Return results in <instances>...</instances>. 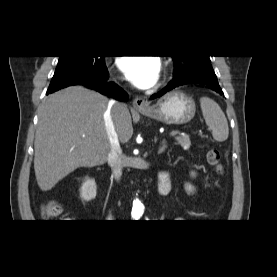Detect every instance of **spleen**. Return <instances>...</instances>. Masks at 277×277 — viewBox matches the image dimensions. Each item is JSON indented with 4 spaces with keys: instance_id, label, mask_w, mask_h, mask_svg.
Returning <instances> with one entry per match:
<instances>
[{
    "instance_id": "obj_1",
    "label": "spleen",
    "mask_w": 277,
    "mask_h": 277,
    "mask_svg": "<svg viewBox=\"0 0 277 277\" xmlns=\"http://www.w3.org/2000/svg\"><path fill=\"white\" fill-rule=\"evenodd\" d=\"M203 117L213 138L218 142L227 140L229 135L228 122L220 106L208 97L200 99Z\"/></svg>"
}]
</instances>
